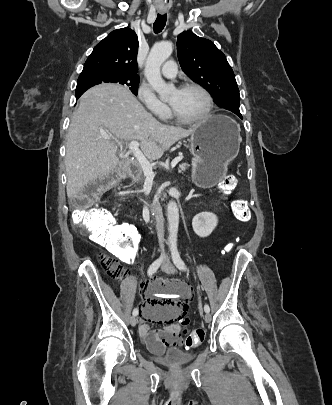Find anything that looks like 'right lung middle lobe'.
<instances>
[{
	"label": "right lung middle lobe",
	"mask_w": 332,
	"mask_h": 405,
	"mask_svg": "<svg viewBox=\"0 0 332 405\" xmlns=\"http://www.w3.org/2000/svg\"><path fill=\"white\" fill-rule=\"evenodd\" d=\"M100 83H117L127 87L137 95L139 77L125 75L110 70L82 72L77 81L76 93H83L90 87Z\"/></svg>",
	"instance_id": "dd1d6c3e"
}]
</instances>
